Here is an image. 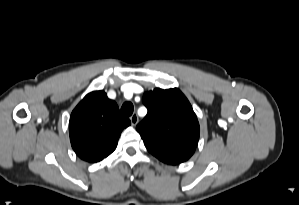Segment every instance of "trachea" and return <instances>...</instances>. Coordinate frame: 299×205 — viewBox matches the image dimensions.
I'll return each instance as SVG.
<instances>
[{"label":"trachea","mask_w":299,"mask_h":205,"mask_svg":"<svg viewBox=\"0 0 299 205\" xmlns=\"http://www.w3.org/2000/svg\"><path fill=\"white\" fill-rule=\"evenodd\" d=\"M134 111V106L131 102H125L121 107V114L123 116H131Z\"/></svg>","instance_id":"3493384b"}]
</instances>
